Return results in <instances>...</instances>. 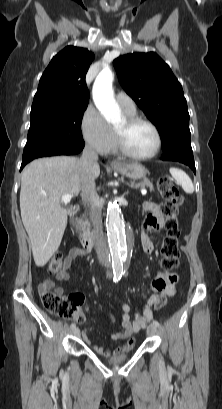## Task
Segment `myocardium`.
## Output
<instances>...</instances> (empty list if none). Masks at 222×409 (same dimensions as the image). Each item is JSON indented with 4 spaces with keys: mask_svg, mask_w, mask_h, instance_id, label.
Here are the masks:
<instances>
[{
    "mask_svg": "<svg viewBox=\"0 0 222 409\" xmlns=\"http://www.w3.org/2000/svg\"><path fill=\"white\" fill-rule=\"evenodd\" d=\"M125 121H126V126L128 128L136 124H140V123L150 126L156 135V145L153 151H151L148 154H144V155L135 154L128 149L126 142H125L124 132H121L115 129V142H116L117 149L120 151V153H122L124 156L128 158L135 159V160H147V159H151L155 157L159 153L161 146H162V136H161V132L159 128L157 127V125L153 123L152 121H150L149 119L139 117V116H127L125 118Z\"/></svg>",
    "mask_w": 222,
    "mask_h": 409,
    "instance_id": "f54148a6",
    "label": "myocardium"
}]
</instances>
